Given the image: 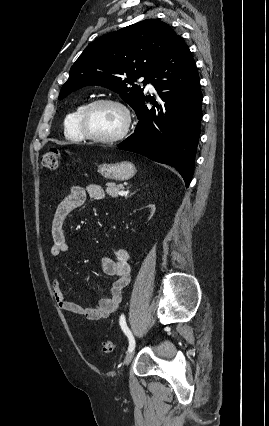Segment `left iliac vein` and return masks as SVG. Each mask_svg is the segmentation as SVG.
Segmentation results:
<instances>
[{
	"instance_id": "4c4485c4",
	"label": "left iliac vein",
	"mask_w": 269,
	"mask_h": 426,
	"mask_svg": "<svg viewBox=\"0 0 269 426\" xmlns=\"http://www.w3.org/2000/svg\"><path fill=\"white\" fill-rule=\"evenodd\" d=\"M133 356H134V349H133L132 351H130V352L126 355V357H125V359H124V364H125L126 366L130 364V362H131V361H132V359H133Z\"/></svg>"
}]
</instances>
